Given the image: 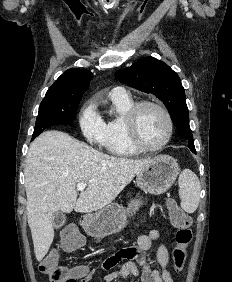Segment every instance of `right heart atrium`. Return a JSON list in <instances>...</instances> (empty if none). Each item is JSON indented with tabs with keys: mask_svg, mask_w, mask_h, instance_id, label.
Returning <instances> with one entry per match:
<instances>
[{
	"mask_svg": "<svg viewBox=\"0 0 232 282\" xmlns=\"http://www.w3.org/2000/svg\"><path fill=\"white\" fill-rule=\"evenodd\" d=\"M79 126L89 143L102 145L105 133L104 121L93 103H87L81 110Z\"/></svg>",
	"mask_w": 232,
	"mask_h": 282,
	"instance_id": "obj_1",
	"label": "right heart atrium"
}]
</instances>
